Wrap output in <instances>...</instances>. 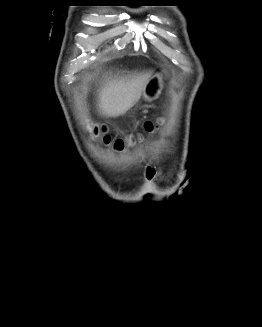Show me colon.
<instances>
[{
  "mask_svg": "<svg viewBox=\"0 0 262 327\" xmlns=\"http://www.w3.org/2000/svg\"><path fill=\"white\" fill-rule=\"evenodd\" d=\"M154 128V125L151 122H147L145 124V130L146 131H152ZM106 140H108V138H106ZM116 147H122L123 146V142L121 140L116 141L115 143Z\"/></svg>",
  "mask_w": 262,
  "mask_h": 327,
  "instance_id": "colon-1",
  "label": "colon"
}]
</instances>
